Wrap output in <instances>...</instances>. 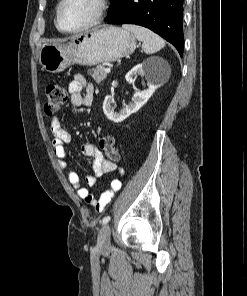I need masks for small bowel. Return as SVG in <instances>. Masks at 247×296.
Returning a JSON list of instances; mask_svg holds the SVG:
<instances>
[{
  "label": "small bowel",
  "mask_w": 247,
  "mask_h": 296,
  "mask_svg": "<svg viewBox=\"0 0 247 296\" xmlns=\"http://www.w3.org/2000/svg\"><path fill=\"white\" fill-rule=\"evenodd\" d=\"M70 94V104L72 107L90 106L93 102L95 89L84 76L76 75L68 84ZM53 134L52 149L59 167L66 171V176L71 186L76 190L79 198L92 206L97 212H103L112 201L115 193L121 187V181L114 179L110 184V189L103 191L99 197L94 196L89 190L82 186L78 174L68 168L65 145L70 142L71 135L64 128L61 121L54 117L50 124ZM82 154L93 160V173L86 177L87 185L93 187L96 185L99 177L112 173L117 167L112 162L104 158L100 150L92 143L83 144Z\"/></svg>",
  "instance_id": "c3829d8e"
}]
</instances>
